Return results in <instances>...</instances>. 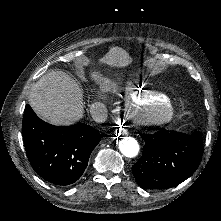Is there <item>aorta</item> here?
<instances>
[{
    "instance_id": "1",
    "label": "aorta",
    "mask_w": 221,
    "mask_h": 221,
    "mask_svg": "<svg viewBox=\"0 0 221 221\" xmlns=\"http://www.w3.org/2000/svg\"><path fill=\"white\" fill-rule=\"evenodd\" d=\"M119 150L124 156L133 158L138 155L140 147L136 139L132 137H123L119 141Z\"/></svg>"
}]
</instances>
